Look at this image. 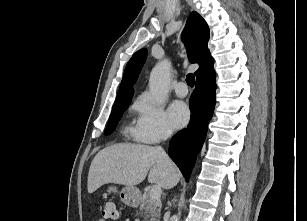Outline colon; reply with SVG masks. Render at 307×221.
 <instances>
[{
    "label": "colon",
    "instance_id": "1",
    "mask_svg": "<svg viewBox=\"0 0 307 221\" xmlns=\"http://www.w3.org/2000/svg\"><path fill=\"white\" fill-rule=\"evenodd\" d=\"M116 217L115 204L112 201H105L101 208L100 221H108Z\"/></svg>",
    "mask_w": 307,
    "mask_h": 221
}]
</instances>
